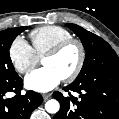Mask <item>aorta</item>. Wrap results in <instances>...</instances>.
<instances>
[{
  "label": "aorta",
  "mask_w": 119,
  "mask_h": 119,
  "mask_svg": "<svg viewBox=\"0 0 119 119\" xmlns=\"http://www.w3.org/2000/svg\"><path fill=\"white\" fill-rule=\"evenodd\" d=\"M59 108H60V104L55 99L48 100L45 104V109L48 113H52V114L57 113L59 111Z\"/></svg>",
  "instance_id": "762f6f07"
}]
</instances>
